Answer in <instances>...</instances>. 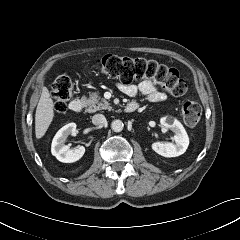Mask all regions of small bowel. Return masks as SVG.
<instances>
[{"label": "small bowel", "instance_id": "1", "mask_svg": "<svg viewBox=\"0 0 240 240\" xmlns=\"http://www.w3.org/2000/svg\"><path fill=\"white\" fill-rule=\"evenodd\" d=\"M118 89L129 97H135L139 93L147 97L152 103L162 102L166 99V95L159 90L152 81L144 80L137 84H117Z\"/></svg>", "mask_w": 240, "mask_h": 240}]
</instances>
